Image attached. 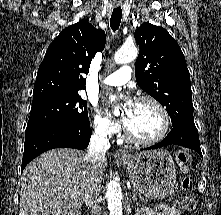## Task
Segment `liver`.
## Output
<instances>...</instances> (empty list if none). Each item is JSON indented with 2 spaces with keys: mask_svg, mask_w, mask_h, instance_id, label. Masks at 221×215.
I'll return each mask as SVG.
<instances>
[{
  "mask_svg": "<svg viewBox=\"0 0 221 215\" xmlns=\"http://www.w3.org/2000/svg\"><path fill=\"white\" fill-rule=\"evenodd\" d=\"M78 150L60 148L41 154L22 173L19 215H75L81 208L92 165ZM107 160L101 162L102 181Z\"/></svg>",
  "mask_w": 221,
  "mask_h": 215,
  "instance_id": "obj_1",
  "label": "liver"
}]
</instances>
